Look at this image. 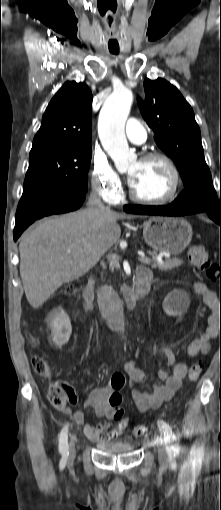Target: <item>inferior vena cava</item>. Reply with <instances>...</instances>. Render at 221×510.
Returning <instances> with one entry per match:
<instances>
[{"instance_id": "1", "label": "inferior vena cava", "mask_w": 221, "mask_h": 510, "mask_svg": "<svg viewBox=\"0 0 221 510\" xmlns=\"http://www.w3.org/2000/svg\"><path fill=\"white\" fill-rule=\"evenodd\" d=\"M88 204L91 206V207H95V208H98L100 211L102 212H107L109 211L110 209L108 207H105L103 205V203L101 202V199L97 193V191H92L90 193V197L88 199Z\"/></svg>"}]
</instances>
